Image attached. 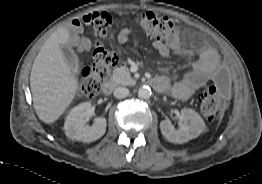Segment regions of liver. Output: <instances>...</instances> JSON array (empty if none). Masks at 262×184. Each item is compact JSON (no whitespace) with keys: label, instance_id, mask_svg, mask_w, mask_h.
<instances>
[{"label":"liver","instance_id":"liver-1","mask_svg":"<svg viewBox=\"0 0 262 184\" xmlns=\"http://www.w3.org/2000/svg\"><path fill=\"white\" fill-rule=\"evenodd\" d=\"M69 40V29H57L41 47L32 65L33 105L39 119L46 124L59 119L78 91V80L71 74L61 49Z\"/></svg>","mask_w":262,"mask_h":184}]
</instances>
